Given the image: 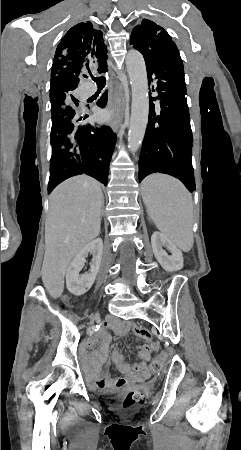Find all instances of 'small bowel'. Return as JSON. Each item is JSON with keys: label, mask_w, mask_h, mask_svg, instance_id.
I'll use <instances>...</instances> for the list:
<instances>
[{"label": "small bowel", "mask_w": 241, "mask_h": 450, "mask_svg": "<svg viewBox=\"0 0 241 450\" xmlns=\"http://www.w3.org/2000/svg\"><path fill=\"white\" fill-rule=\"evenodd\" d=\"M131 332L136 339L141 341L138 345L139 361L128 364L119 350L112 353V361L122 377L112 376L108 371L101 373V368L105 364L108 356V348L112 339V333L124 336ZM99 341L100 347L94 351L92 356H83L84 368L88 370V379L92 387L98 389H119L134 385L145 384L151 371L148 363L153 353L158 351L159 344L154 340L152 333L145 327L130 320H114L106 323L98 332L96 340L88 339L82 343L83 348L89 349Z\"/></svg>", "instance_id": "obj_1"}]
</instances>
